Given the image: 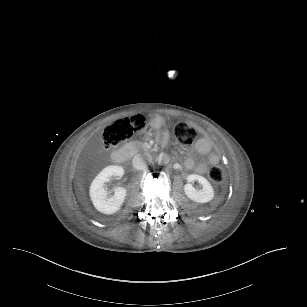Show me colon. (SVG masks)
<instances>
[{"instance_id":"obj_1","label":"colon","mask_w":307,"mask_h":307,"mask_svg":"<svg viewBox=\"0 0 307 307\" xmlns=\"http://www.w3.org/2000/svg\"><path fill=\"white\" fill-rule=\"evenodd\" d=\"M146 127V122L141 116L119 119L109 124L102 134L101 149L117 147L130 138L139 134ZM174 135L183 147H190L196 139V132L184 121H178L174 126ZM209 179L220 183L224 179V170L218 165L212 166L208 171Z\"/></svg>"}]
</instances>
